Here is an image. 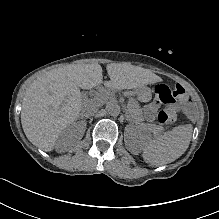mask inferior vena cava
<instances>
[{"label": "inferior vena cava", "instance_id": "1", "mask_svg": "<svg viewBox=\"0 0 219 219\" xmlns=\"http://www.w3.org/2000/svg\"><path fill=\"white\" fill-rule=\"evenodd\" d=\"M80 112L82 117L89 118L94 115L95 109L92 104L86 103L81 106Z\"/></svg>", "mask_w": 219, "mask_h": 219}]
</instances>
